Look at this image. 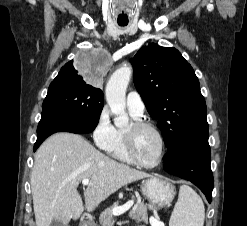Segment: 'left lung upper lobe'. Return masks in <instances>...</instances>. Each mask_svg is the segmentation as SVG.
I'll list each match as a JSON object with an SVG mask.
<instances>
[{"instance_id": "1", "label": "left lung upper lobe", "mask_w": 247, "mask_h": 226, "mask_svg": "<svg viewBox=\"0 0 247 226\" xmlns=\"http://www.w3.org/2000/svg\"><path fill=\"white\" fill-rule=\"evenodd\" d=\"M134 84L158 120L167 150L192 134L208 131L206 103L197 76L175 48L149 44L131 60Z\"/></svg>"}]
</instances>
